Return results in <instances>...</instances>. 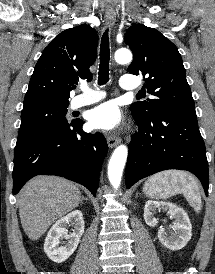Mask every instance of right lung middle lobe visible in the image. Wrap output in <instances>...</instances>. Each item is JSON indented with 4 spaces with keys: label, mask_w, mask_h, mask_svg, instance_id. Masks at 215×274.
<instances>
[{
    "label": "right lung middle lobe",
    "mask_w": 215,
    "mask_h": 274,
    "mask_svg": "<svg viewBox=\"0 0 215 274\" xmlns=\"http://www.w3.org/2000/svg\"><path fill=\"white\" fill-rule=\"evenodd\" d=\"M67 103H45L23 108L21 125L15 147L17 152L36 138L71 124L65 115Z\"/></svg>",
    "instance_id": "obj_1"
}]
</instances>
